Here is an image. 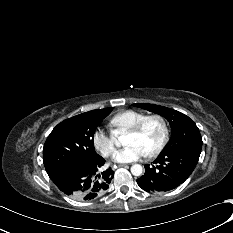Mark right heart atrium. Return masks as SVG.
Wrapping results in <instances>:
<instances>
[{"label":"right heart atrium","instance_id":"right-heart-atrium-1","mask_svg":"<svg viewBox=\"0 0 233 233\" xmlns=\"http://www.w3.org/2000/svg\"><path fill=\"white\" fill-rule=\"evenodd\" d=\"M92 142L95 149L105 157L112 156L116 151L115 137L111 132L95 131Z\"/></svg>","mask_w":233,"mask_h":233}]
</instances>
